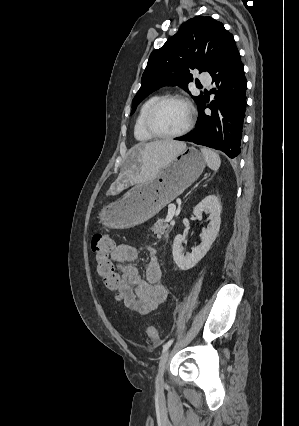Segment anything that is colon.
Masks as SVG:
<instances>
[{
    "instance_id": "colon-1",
    "label": "colon",
    "mask_w": 299,
    "mask_h": 426,
    "mask_svg": "<svg viewBox=\"0 0 299 426\" xmlns=\"http://www.w3.org/2000/svg\"><path fill=\"white\" fill-rule=\"evenodd\" d=\"M113 249L114 241L107 231H99L93 235L91 250L96 262L97 273L106 289L114 293L119 300H122L121 279L111 261ZM146 333L152 342L161 341V335L156 327L148 326Z\"/></svg>"
}]
</instances>
